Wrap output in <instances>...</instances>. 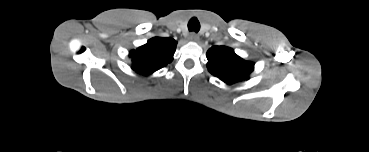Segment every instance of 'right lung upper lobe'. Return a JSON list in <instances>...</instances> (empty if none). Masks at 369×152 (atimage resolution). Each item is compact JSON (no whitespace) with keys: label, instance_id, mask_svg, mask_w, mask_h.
Listing matches in <instances>:
<instances>
[{"label":"right lung upper lobe","instance_id":"right-lung-upper-lobe-1","mask_svg":"<svg viewBox=\"0 0 369 152\" xmlns=\"http://www.w3.org/2000/svg\"><path fill=\"white\" fill-rule=\"evenodd\" d=\"M177 42L172 38L154 37L132 50V69L139 74L149 75L173 60Z\"/></svg>","mask_w":369,"mask_h":152}]
</instances>
